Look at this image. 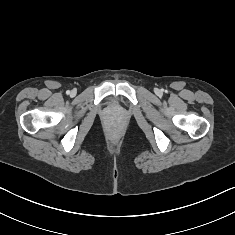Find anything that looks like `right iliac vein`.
Masks as SVG:
<instances>
[{
    "instance_id": "63e3f726",
    "label": "right iliac vein",
    "mask_w": 235,
    "mask_h": 235,
    "mask_svg": "<svg viewBox=\"0 0 235 235\" xmlns=\"http://www.w3.org/2000/svg\"><path fill=\"white\" fill-rule=\"evenodd\" d=\"M70 94H71V96H74L76 94V91L72 90Z\"/></svg>"
}]
</instances>
